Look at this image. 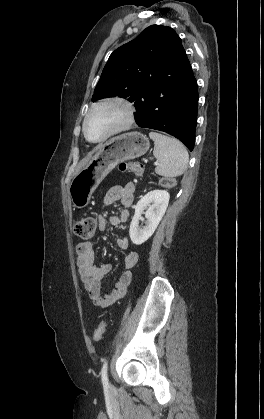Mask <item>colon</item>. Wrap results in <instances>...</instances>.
<instances>
[{"label": "colon", "mask_w": 264, "mask_h": 419, "mask_svg": "<svg viewBox=\"0 0 264 419\" xmlns=\"http://www.w3.org/2000/svg\"><path fill=\"white\" fill-rule=\"evenodd\" d=\"M119 169L124 172H129L135 175H142L144 173V166L137 161H127L119 164ZM161 184L165 187H172L175 184L172 178L161 179ZM96 229V220L93 217H82L78 219L74 225L75 234L85 240L91 239L94 236ZM106 324L100 322L93 335L94 341H100L105 333Z\"/></svg>", "instance_id": "colon-1"}]
</instances>
